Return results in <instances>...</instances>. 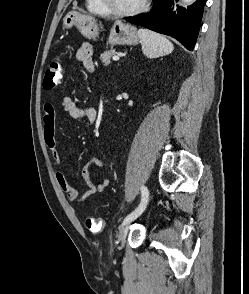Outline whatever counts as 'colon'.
I'll list each match as a JSON object with an SVG mask.
<instances>
[{"label": "colon", "mask_w": 249, "mask_h": 294, "mask_svg": "<svg viewBox=\"0 0 249 294\" xmlns=\"http://www.w3.org/2000/svg\"><path fill=\"white\" fill-rule=\"evenodd\" d=\"M62 74V61L59 57H56L46 69L43 88L46 91H50L58 87L62 81ZM85 225L92 232H99L104 228V222L99 217L86 218Z\"/></svg>", "instance_id": "5ec220e1"}]
</instances>
